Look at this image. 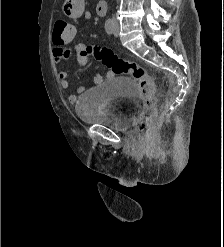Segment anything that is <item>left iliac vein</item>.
Returning a JSON list of instances; mask_svg holds the SVG:
<instances>
[{"mask_svg":"<svg viewBox=\"0 0 224 247\" xmlns=\"http://www.w3.org/2000/svg\"><path fill=\"white\" fill-rule=\"evenodd\" d=\"M119 34V25L115 24L114 25V36L117 37Z\"/></svg>","mask_w":224,"mask_h":247,"instance_id":"obj_1","label":"left iliac vein"}]
</instances>
